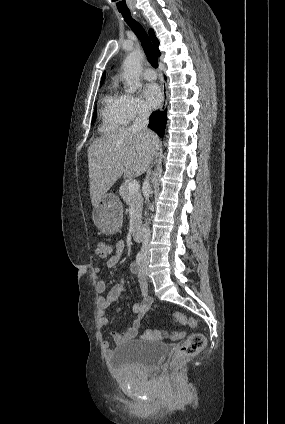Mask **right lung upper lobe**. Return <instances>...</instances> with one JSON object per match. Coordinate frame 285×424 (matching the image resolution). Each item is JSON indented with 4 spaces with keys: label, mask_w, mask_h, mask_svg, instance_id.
Here are the masks:
<instances>
[{
    "label": "right lung upper lobe",
    "mask_w": 285,
    "mask_h": 424,
    "mask_svg": "<svg viewBox=\"0 0 285 424\" xmlns=\"http://www.w3.org/2000/svg\"><path fill=\"white\" fill-rule=\"evenodd\" d=\"M149 35H150V37H151V39H152V42H153V44H154V47H155V49H156V51H157L158 55L160 56V54H161V53H160V51L158 50L159 41H158V39L156 38L155 33H154V31H153L152 29H150V30H149ZM104 78H105V74H103V76H102L101 84L103 83Z\"/></svg>",
    "instance_id": "right-lung-upper-lobe-1"
}]
</instances>
